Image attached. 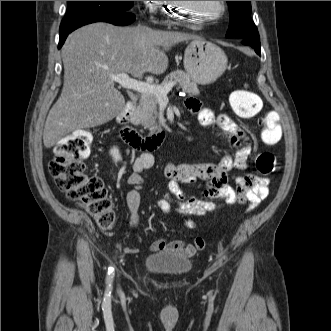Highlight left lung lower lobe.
<instances>
[{"label":"left lung lower lobe","instance_id":"0a47b994","mask_svg":"<svg viewBox=\"0 0 331 331\" xmlns=\"http://www.w3.org/2000/svg\"><path fill=\"white\" fill-rule=\"evenodd\" d=\"M245 45H250L254 48L255 52L260 55V39L258 38H244L240 39Z\"/></svg>","mask_w":331,"mask_h":331}]
</instances>
